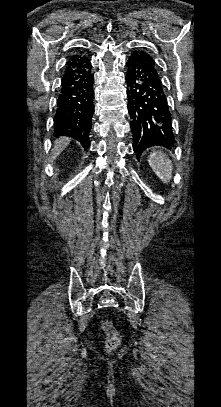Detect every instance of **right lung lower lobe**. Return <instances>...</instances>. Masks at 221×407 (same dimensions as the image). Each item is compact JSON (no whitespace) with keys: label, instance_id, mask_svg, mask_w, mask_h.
I'll return each mask as SVG.
<instances>
[{"label":"right lung lower lobe","instance_id":"98d812e1","mask_svg":"<svg viewBox=\"0 0 221 407\" xmlns=\"http://www.w3.org/2000/svg\"><path fill=\"white\" fill-rule=\"evenodd\" d=\"M90 60L81 52L70 57L61 79L55 114V136H69L88 149L94 113Z\"/></svg>","mask_w":221,"mask_h":407}]
</instances>
